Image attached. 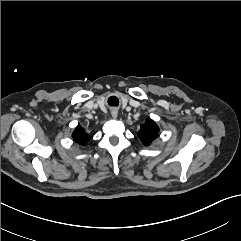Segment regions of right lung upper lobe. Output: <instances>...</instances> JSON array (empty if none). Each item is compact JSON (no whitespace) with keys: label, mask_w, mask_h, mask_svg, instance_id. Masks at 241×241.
<instances>
[{"label":"right lung upper lobe","mask_w":241,"mask_h":241,"mask_svg":"<svg viewBox=\"0 0 241 241\" xmlns=\"http://www.w3.org/2000/svg\"><path fill=\"white\" fill-rule=\"evenodd\" d=\"M72 137L77 143L81 145H85L90 139V136L87 133H85L84 130H82L80 127H77L75 129V131L72 134Z\"/></svg>","instance_id":"1"}]
</instances>
